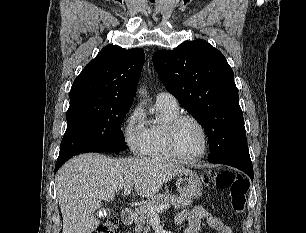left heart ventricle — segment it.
Returning a JSON list of instances; mask_svg holds the SVG:
<instances>
[{
  "mask_svg": "<svg viewBox=\"0 0 306 233\" xmlns=\"http://www.w3.org/2000/svg\"><path fill=\"white\" fill-rule=\"evenodd\" d=\"M176 142L180 152L185 155H198L204 146L201 130L191 121H186L179 127Z\"/></svg>",
  "mask_w": 306,
  "mask_h": 233,
  "instance_id": "obj_1",
  "label": "left heart ventricle"
}]
</instances>
